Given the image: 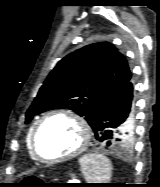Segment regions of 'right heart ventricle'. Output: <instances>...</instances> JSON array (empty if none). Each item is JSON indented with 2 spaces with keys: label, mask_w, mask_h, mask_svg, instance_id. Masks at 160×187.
<instances>
[{
  "label": "right heart ventricle",
  "mask_w": 160,
  "mask_h": 187,
  "mask_svg": "<svg viewBox=\"0 0 160 187\" xmlns=\"http://www.w3.org/2000/svg\"><path fill=\"white\" fill-rule=\"evenodd\" d=\"M35 124H33L27 131L26 134V148H27V152L28 155L30 156V158L35 159V156L33 155L32 151H31V134H32V130Z\"/></svg>",
  "instance_id": "1"
}]
</instances>
